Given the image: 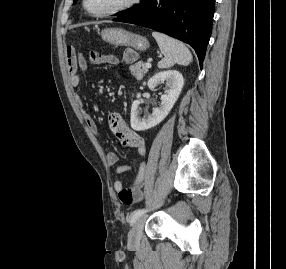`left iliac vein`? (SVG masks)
Segmentation results:
<instances>
[{"instance_id":"obj_1","label":"left iliac vein","mask_w":286,"mask_h":269,"mask_svg":"<svg viewBox=\"0 0 286 269\" xmlns=\"http://www.w3.org/2000/svg\"><path fill=\"white\" fill-rule=\"evenodd\" d=\"M143 226H144V217H139L137 221L133 224L128 235V243L130 246L139 245L142 237Z\"/></svg>"}]
</instances>
